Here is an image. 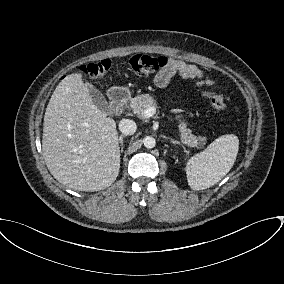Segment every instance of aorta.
I'll use <instances>...</instances> for the list:
<instances>
[{
    "label": "aorta",
    "mask_w": 284,
    "mask_h": 284,
    "mask_svg": "<svg viewBox=\"0 0 284 284\" xmlns=\"http://www.w3.org/2000/svg\"><path fill=\"white\" fill-rule=\"evenodd\" d=\"M144 146L148 149H152L156 146V140L151 136H146L143 139Z\"/></svg>",
    "instance_id": "762f6f07"
}]
</instances>
